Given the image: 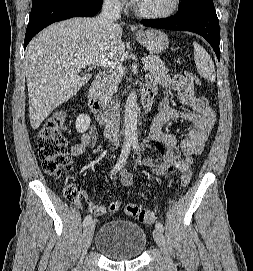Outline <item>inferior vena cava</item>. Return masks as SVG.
<instances>
[{
    "mask_svg": "<svg viewBox=\"0 0 253 271\" xmlns=\"http://www.w3.org/2000/svg\"><path fill=\"white\" fill-rule=\"evenodd\" d=\"M121 5L119 0H104L101 13L97 17L101 27L111 26L120 18ZM120 103L117 99L109 100L105 108L104 135L114 146H118L120 134Z\"/></svg>",
    "mask_w": 253,
    "mask_h": 271,
    "instance_id": "1",
    "label": "inferior vena cava"
}]
</instances>
